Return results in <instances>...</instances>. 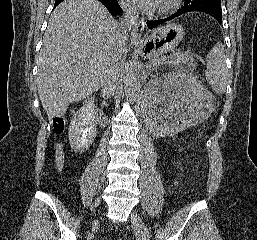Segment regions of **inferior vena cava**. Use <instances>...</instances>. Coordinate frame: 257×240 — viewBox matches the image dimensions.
<instances>
[{
  "mask_svg": "<svg viewBox=\"0 0 257 240\" xmlns=\"http://www.w3.org/2000/svg\"><path fill=\"white\" fill-rule=\"evenodd\" d=\"M123 10L125 16L121 19L118 25L117 41L114 47V53L112 56L111 64L107 70L103 82H102V96L104 99L113 96L120 75L121 56L120 47L126 42L128 30L131 29L138 19V10L134 5L130 3L123 4Z\"/></svg>",
  "mask_w": 257,
  "mask_h": 240,
  "instance_id": "obj_1",
  "label": "inferior vena cava"
}]
</instances>
